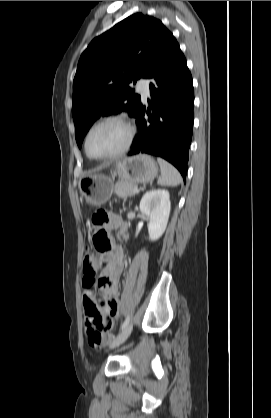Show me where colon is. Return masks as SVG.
I'll return each instance as SVG.
<instances>
[{
  "instance_id": "5ec220e1",
  "label": "colon",
  "mask_w": 271,
  "mask_h": 418,
  "mask_svg": "<svg viewBox=\"0 0 271 418\" xmlns=\"http://www.w3.org/2000/svg\"><path fill=\"white\" fill-rule=\"evenodd\" d=\"M106 222V214L98 213L93 217V223L101 226ZM94 247L98 252H107L111 249V243L103 229H98L93 237ZM86 334L89 345L93 348H100L104 341V333L108 326L104 321L101 313L93 308L89 310L85 316Z\"/></svg>"
}]
</instances>
